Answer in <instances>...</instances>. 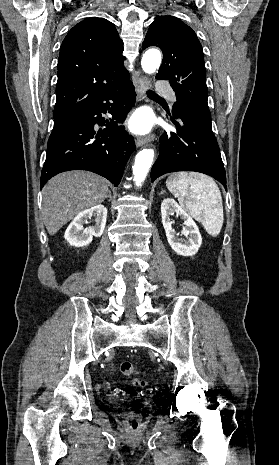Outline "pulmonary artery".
<instances>
[{"instance_id": "obj_1", "label": "pulmonary artery", "mask_w": 279, "mask_h": 465, "mask_svg": "<svg viewBox=\"0 0 279 465\" xmlns=\"http://www.w3.org/2000/svg\"><path fill=\"white\" fill-rule=\"evenodd\" d=\"M157 89L161 94L167 96L170 99V101H172V102L176 101V97H175L173 91L167 85L159 84Z\"/></svg>"}]
</instances>
